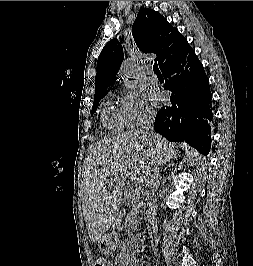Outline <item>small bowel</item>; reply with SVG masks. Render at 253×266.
<instances>
[{"mask_svg":"<svg viewBox=\"0 0 253 266\" xmlns=\"http://www.w3.org/2000/svg\"><path fill=\"white\" fill-rule=\"evenodd\" d=\"M118 262H119V264H121V262H120V258H118ZM130 266H136V263L131 262V263H130Z\"/></svg>","mask_w":253,"mask_h":266,"instance_id":"small-bowel-1","label":"small bowel"}]
</instances>
